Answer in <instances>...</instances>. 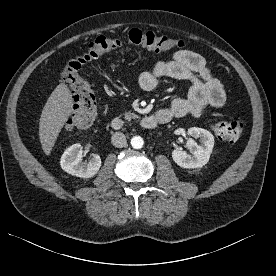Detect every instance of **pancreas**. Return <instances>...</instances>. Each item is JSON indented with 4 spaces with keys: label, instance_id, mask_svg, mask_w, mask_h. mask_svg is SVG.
Masks as SVG:
<instances>
[{
    "label": "pancreas",
    "instance_id": "pancreas-1",
    "mask_svg": "<svg viewBox=\"0 0 276 276\" xmlns=\"http://www.w3.org/2000/svg\"><path fill=\"white\" fill-rule=\"evenodd\" d=\"M124 118H125L126 120L130 121V120H132V119H137V118H139V116L136 115V114L133 113V112L128 111V112H125V113H124Z\"/></svg>",
    "mask_w": 276,
    "mask_h": 276
}]
</instances>
